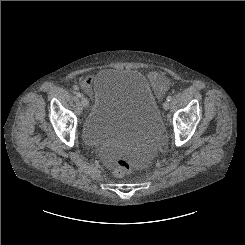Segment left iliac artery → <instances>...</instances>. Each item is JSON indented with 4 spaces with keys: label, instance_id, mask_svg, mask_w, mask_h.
I'll list each match as a JSON object with an SVG mask.
<instances>
[{
    "label": "left iliac artery",
    "instance_id": "left-iliac-artery-1",
    "mask_svg": "<svg viewBox=\"0 0 245 245\" xmlns=\"http://www.w3.org/2000/svg\"><path fill=\"white\" fill-rule=\"evenodd\" d=\"M171 100H172V96L169 95V96L167 97V101L170 102Z\"/></svg>",
    "mask_w": 245,
    "mask_h": 245
}]
</instances>
